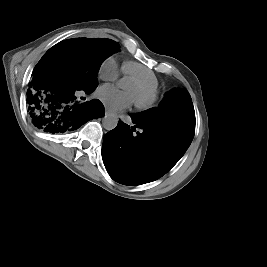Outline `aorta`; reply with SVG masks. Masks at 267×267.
<instances>
[{
    "label": "aorta",
    "mask_w": 267,
    "mask_h": 267,
    "mask_svg": "<svg viewBox=\"0 0 267 267\" xmlns=\"http://www.w3.org/2000/svg\"><path fill=\"white\" fill-rule=\"evenodd\" d=\"M119 86L123 87V80L120 81ZM117 123L118 119L114 114H106L102 119L103 127L108 131L113 130Z\"/></svg>",
    "instance_id": "aorta-1"
}]
</instances>
